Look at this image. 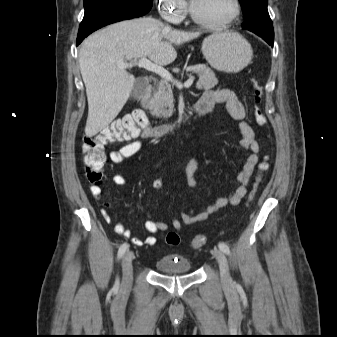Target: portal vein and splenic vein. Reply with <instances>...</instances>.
Here are the masks:
<instances>
[{
	"instance_id": "portal-vein-and-splenic-vein-1",
	"label": "portal vein and splenic vein",
	"mask_w": 337,
	"mask_h": 337,
	"mask_svg": "<svg viewBox=\"0 0 337 337\" xmlns=\"http://www.w3.org/2000/svg\"><path fill=\"white\" fill-rule=\"evenodd\" d=\"M117 66L121 69L131 68L133 66L144 68L148 71H151V72H154L160 75L163 79L167 81L173 82L177 86L178 89H182L183 87L188 88L193 84V81H194V77H190L184 84H182L181 82L174 80L173 76L164 67H162L161 65L152 63L146 57H143L138 61H134L130 63L120 60L118 61Z\"/></svg>"
}]
</instances>
